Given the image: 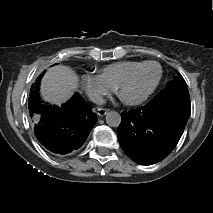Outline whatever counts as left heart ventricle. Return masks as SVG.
Instances as JSON below:
<instances>
[{
  "label": "left heart ventricle",
  "instance_id": "obj_1",
  "mask_svg": "<svg viewBox=\"0 0 213 213\" xmlns=\"http://www.w3.org/2000/svg\"><path fill=\"white\" fill-rule=\"evenodd\" d=\"M158 76V68L149 64L140 68L131 81L123 88L122 96L126 100L141 98L153 87Z\"/></svg>",
  "mask_w": 213,
  "mask_h": 213
}]
</instances>
